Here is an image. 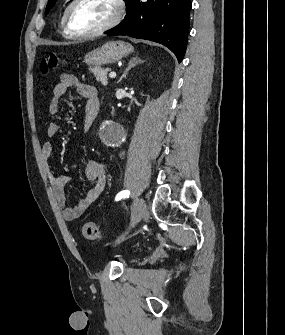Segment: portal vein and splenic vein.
<instances>
[{
	"instance_id": "1",
	"label": "portal vein and splenic vein",
	"mask_w": 285,
	"mask_h": 335,
	"mask_svg": "<svg viewBox=\"0 0 285 335\" xmlns=\"http://www.w3.org/2000/svg\"><path fill=\"white\" fill-rule=\"evenodd\" d=\"M109 78H116V72H110Z\"/></svg>"
}]
</instances>
